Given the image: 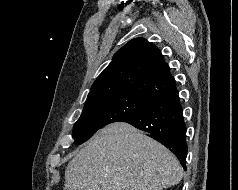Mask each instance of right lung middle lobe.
<instances>
[{
    "mask_svg": "<svg viewBox=\"0 0 238 190\" xmlns=\"http://www.w3.org/2000/svg\"><path fill=\"white\" fill-rule=\"evenodd\" d=\"M152 104L148 100L131 95H113L88 101L73 127L74 143L82 144L103 126L122 122Z\"/></svg>",
    "mask_w": 238,
    "mask_h": 190,
    "instance_id": "dd1d6c3e",
    "label": "right lung middle lobe"
}]
</instances>
